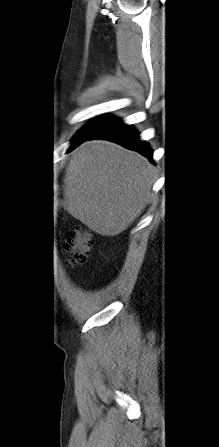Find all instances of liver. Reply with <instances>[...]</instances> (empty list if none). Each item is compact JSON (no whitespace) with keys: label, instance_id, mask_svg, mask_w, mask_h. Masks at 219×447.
<instances>
[{"label":"liver","instance_id":"obj_1","mask_svg":"<svg viewBox=\"0 0 219 447\" xmlns=\"http://www.w3.org/2000/svg\"><path fill=\"white\" fill-rule=\"evenodd\" d=\"M152 164L137 152L105 140L77 147L68 164L64 207L103 236H115L140 216L155 183Z\"/></svg>","mask_w":219,"mask_h":447}]
</instances>
